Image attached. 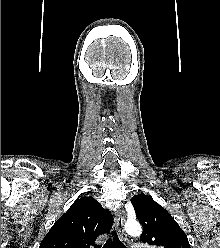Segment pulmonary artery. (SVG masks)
<instances>
[{"mask_svg": "<svg viewBox=\"0 0 220 248\" xmlns=\"http://www.w3.org/2000/svg\"><path fill=\"white\" fill-rule=\"evenodd\" d=\"M132 248H145L143 244L137 243L132 246Z\"/></svg>", "mask_w": 220, "mask_h": 248, "instance_id": "pulmonary-artery-1", "label": "pulmonary artery"}]
</instances>
